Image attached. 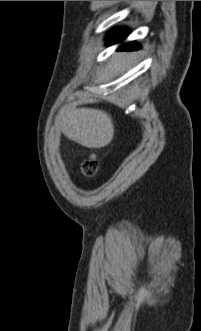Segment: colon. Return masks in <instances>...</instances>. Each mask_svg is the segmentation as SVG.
<instances>
[{"label": "colon", "instance_id": "1", "mask_svg": "<svg viewBox=\"0 0 201 331\" xmlns=\"http://www.w3.org/2000/svg\"><path fill=\"white\" fill-rule=\"evenodd\" d=\"M97 163L94 158L86 160L82 165V171L86 176H93L96 173Z\"/></svg>", "mask_w": 201, "mask_h": 331}]
</instances>
